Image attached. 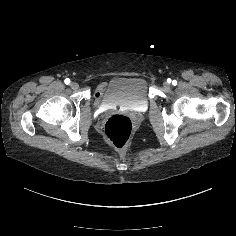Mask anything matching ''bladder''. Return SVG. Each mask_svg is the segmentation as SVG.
I'll return each mask as SVG.
<instances>
[{
  "mask_svg": "<svg viewBox=\"0 0 236 236\" xmlns=\"http://www.w3.org/2000/svg\"><path fill=\"white\" fill-rule=\"evenodd\" d=\"M147 82L140 77H115L101 90L104 102L118 106L144 105L147 103Z\"/></svg>",
  "mask_w": 236,
  "mask_h": 236,
  "instance_id": "bladder-1",
  "label": "bladder"
}]
</instances>
